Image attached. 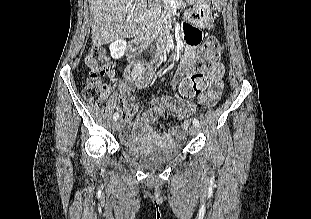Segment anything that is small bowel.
Listing matches in <instances>:
<instances>
[{
    "label": "small bowel",
    "instance_id": "c3829d8e",
    "mask_svg": "<svg viewBox=\"0 0 311 219\" xmlns=\"http://www.w3.org/2000/svg\"><path fill=\"white\" fill-rule=\"evenodd\" d=\"M183 44L185 53L181 58V68L174 75L172 85L174 89H179L181 93L183 75L189 77V69L195 59V50L197 44L191 42L184 31ZM131 62V61H130ZM126 82L121 83V138L130 140L140 138L146 142H153L161 145H169L172 142H179L185 138V131L189 123V116L196 111V105L181 96L176 98L150 99V106L141 109L133 97V92L137 88H146L152 77L153 70L145 68L141 63H132L124 72ZM223 70L218 72L212 70L210 73L211 85L209 89L201 95V102L206 106H213L219 99L222 89ZM165 113L173 114L176 117V123L170 126L168 132L159 133L154 130V124L157 119ZM137 115V119L133 117Z\"/></svg>",
    "mask_w": 311,
    "mask_h": 219
}]
</instances>
